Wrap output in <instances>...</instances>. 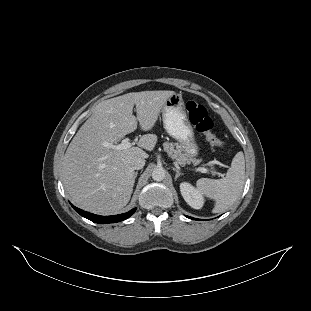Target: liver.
Here are the masks:
<instances>
[{
	"label": "liver",
	"mask_w": 311,
	"mask_h": 311,
	"mask_svg": "<svg viewBox=\"0 0 311 311\" xmlns=\"http://www.w3.org/2000/svg\"><path fill=\"white\" fill-rule=\"evenodd\" d=\"M175 93L131 92L96 106L70 142L62 161L63 184L78 207L107 215L128 204L136 180L131 162L136 157L148 159L147 152L157 146L158 136L149 132ZM137 127L146 134L136 146L123 149L120 140Z\"/></svg>",
	"instance_id": "6515ba94"
}]
</instances>
